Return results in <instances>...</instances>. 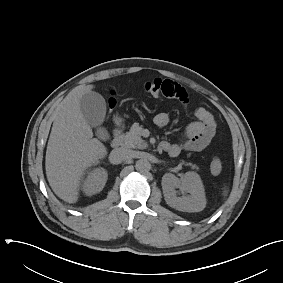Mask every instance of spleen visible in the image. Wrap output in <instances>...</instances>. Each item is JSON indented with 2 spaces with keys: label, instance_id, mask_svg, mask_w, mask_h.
<instances>
[{
  "label": "spleen",
  "instance_id": "obj_1",
  "mask_svg": "<svg viewBox=\"0 0 283 283\" xmlns=\"http://www.w3.org/2000/svg\"><path fill=\"white\" fill-rule=\"evenodd\" d=\"M224 195H227V191L226 190L224 191Z\"/></svg>",
  "mask_w": 283,
  "mask_h": 283
}]
</instances>
